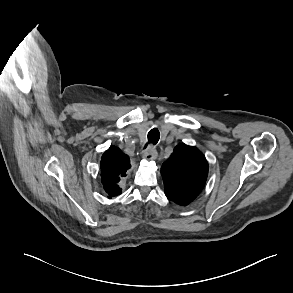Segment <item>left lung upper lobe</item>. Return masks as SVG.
I'll return each mask as SVG.
<instances>
[{
	"mask_svg": "<svg viewBox=\"0 0 293 293\" xmlns=\"http://www.w3.org/2000/svg\"><path fill=\"white\" fill-rule=\"evenodd\" d=\"M161 174L165 195L186 206L202 191L208 175V163L196 147L181 143L163 163Z\"/></svg>",
	"mask_w": 293,
	"mask_h": 293,
	"instance_id": "5c2ea615",
	"label": "left lung upper lobe"
}]
</instances>
